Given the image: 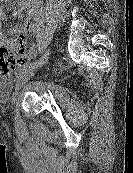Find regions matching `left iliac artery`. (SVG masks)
Returning a JSON list of instances; mask_svg holds the SVG:
<instances>
[{"mask_svg": "<svg viewBox=\"0 0 133 173\" xmlns=\"http://www.w3.org/2000/svg\"><path fill=\"white\" fill-rule=\"evenodd\" d=\"M49 50H47L46 52H45V54L42 56V58L41 59H44V58H48V56H49ZM36 62L34 63H29V64H27V65H25V66H23L20 70H19V72H18V77H20L23 73H25L26 71H28L29 69H31V68H33V67H35L36 66Z\"/></svg>", "mask_w": 133, "mask_h": 173, "instance_id": "obj_1", "label": "left iliac artery"}]
</instances>
